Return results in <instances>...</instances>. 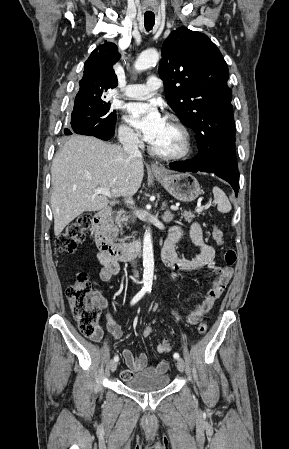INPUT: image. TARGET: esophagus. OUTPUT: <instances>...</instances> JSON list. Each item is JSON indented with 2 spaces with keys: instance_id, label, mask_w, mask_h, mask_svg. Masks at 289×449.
<instances>
[{
  "instance_id": "34e87169",
  "label": "esophagus",
  "mask_w": 289,
  "mask_h": 449,
  "mask_svg": "<svg viewBox=\"0 0 289 449\" xmlns=\"http://www.w3.org/2000/svg\"><path fill=\"white\" fill-rule=\"evenodd\" d=\"M151 169L154 172H163V168L161 166H159L157 163H152L151 164Z\"/></svg>"
}]
</instances>
